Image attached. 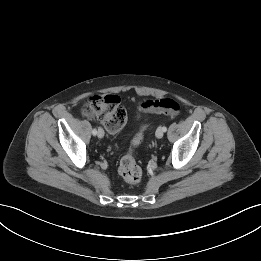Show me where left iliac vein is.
<instances>
[{"mask_svg":"<svg viewBox=\"0 0 261 261\" xmlns=\"http://www.w3.org/2000/svg\"><path fill=\"white\" fill-rule=\"evenodd\" d=\"M157 138H162L164 135L163 127H158L155 133Z\"/></svg>","mask_w":261,"mask_h":261,"instance_id":"4c4485c4","label":"left iliac vein"}]
</instances>
